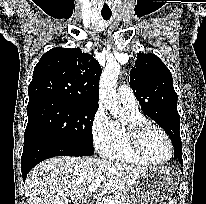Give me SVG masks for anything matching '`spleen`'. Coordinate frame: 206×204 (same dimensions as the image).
<instances>
[{
    "label": "spleen",
    "mask_w": 206,
    "mask_h": 204,
    "mask_svg": "<svg viewBox=\"0 0 206 204\" xmlns=\"http://www.w3.org/2000/svg\"><path fill=\"white\" fill-rule=\"evenodd\" d=\"M171 204H177V203H176V200H172V201H171Z\"/></svg>",
    "instance_id": "obj_1"
}]
</instances>
